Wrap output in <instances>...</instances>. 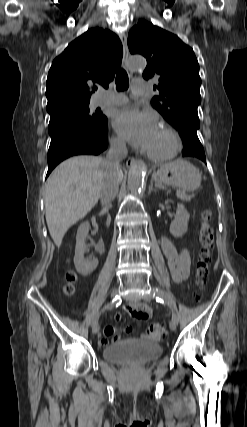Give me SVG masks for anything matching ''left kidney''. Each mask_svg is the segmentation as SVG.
<instances>
[{"label":"left kidney","instance_id":"5707ae66","mask_svg":"<svg viewBox=\"0 0 247 427\" xmlns=\"http://www.w3.org/2000/svg\"><path fill=\"white\" fill-rule=\"evenodd\" d=\"M189 218L190 214L184 205L178 204L175 218L170 225V233L176 238L182 237L187 232Z\"/></svg>","mask_w":247,"mask_h":427}]
</instances>
